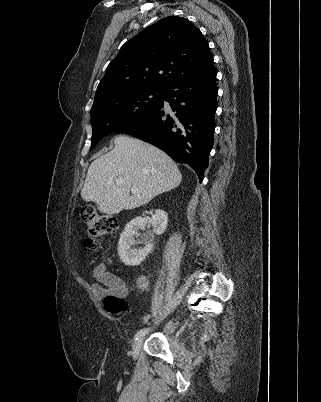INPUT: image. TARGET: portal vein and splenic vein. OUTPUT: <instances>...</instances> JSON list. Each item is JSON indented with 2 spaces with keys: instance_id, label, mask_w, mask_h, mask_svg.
I'll return each mask as SVG.
<instances>
[{
  "instance_id": "obj_1",
  "label": "portal vein and splenic vein",
  "mask_w": 321,
  "mask_h": 402,
  "mask_svg": "<svg viewBox=\"0 0 321 402\" xmlns=\"http://www.w3.org/2000/svg\"><path fill=\"white\" fill-rule=\"evenodd\" d=\"M116 184L119 185V186H122V185H124V180L119 178V179L116 180ZM131 190H132V192H135L136 188H132Z\"/></svg>"
}]
</instances>
